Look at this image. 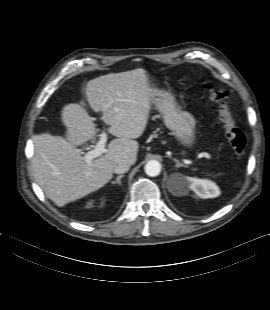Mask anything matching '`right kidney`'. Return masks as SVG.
<instances>
[{
	"instance_id": "right-kidney-1",
	"label": "right kidney",
	"mask_w": 270,
	"mask_h": 310,
	"mask_svg": "<svg viewBox=\"0 0 270 310\" xmlns=\"http://www.w3.org/2000/svg\"><path fill=\"white\" fill-rule=\"evenodd\" d=\"M88 204L91 205V204H92V201H90Z\"/></svg>"
}]
</instances>
